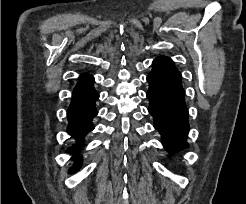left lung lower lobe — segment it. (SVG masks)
<instances>
[{
    "mask_svg": "<svg viewBox=\"0 0 246 204\" xmlns=\"http://www.w3.org/2000/svg\"><path fill=\"white\" fill-rule=\"evenodd\" d=\"M147 81L149 90L146 95L150 101L148 111L154 118V127L161 134L167 150H180L187 145L189 131L181 74L170 58L160 56L153 61V69Z\"/></svg>",
    "mask_w": 246,
    "mask_h": 204,
    "instance_id": "obj_1",
    "label": "left lung lower lobe"
}]
</instances>
